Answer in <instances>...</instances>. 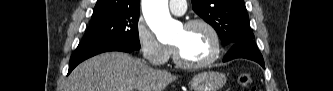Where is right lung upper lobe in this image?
I'll return each mask as SVG.
<instances>
[{
  "label": "right lung upper lobe",
  "instance_id": "obj_1",
  "mask_svg": "<svg viewBox=\"0 0 333 91\" xmlns=\"http://www.w3.org/2000/svg\"><path fill=\"white\" fill-rule=\"evenodd\" d=\"M140 0H98L93 17H100L126 12H139Z\"/></svg>",
  "mask_w": 333,
  "mask_h": 91
}]
</instances>
